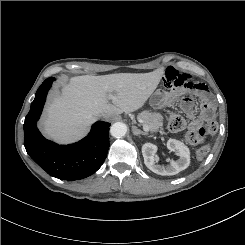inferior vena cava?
<instances>
[{
    "label": "inferior vena cava",
    "mask_w": 245,
    "mask_h": 245,
    "mask_svg": "<svg viewBox=\"0 0 245 245\" xmlns=\"http://www.w3.org/2000/svg\"><path fill=\"white\" fill-rule=\"evenodd\" d=\"M100 117L105 118V117H106V115H105V114H101V115H100Z\"/></svg>",
    "instance_id": "1"
}]
</instances>
